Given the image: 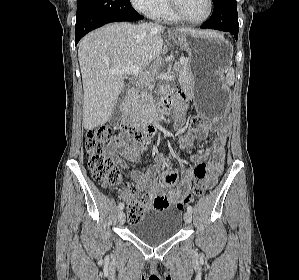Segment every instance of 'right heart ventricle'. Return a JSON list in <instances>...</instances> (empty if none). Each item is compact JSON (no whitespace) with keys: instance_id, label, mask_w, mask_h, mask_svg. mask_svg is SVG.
<instances>
[{"instance_id":"e07e8e85","label":"right heart ventricle","mask_w":299,"mask_h":280,"mask_svg":"<svg viewBox=\"0 0 299 280\" xmlns=\"http://www.w3.org/2000/svg\"><path fill=\"white\" fill-rule=\"evenodd\" d=\"M152 17L167 21V22H178L179 19L171 12L167 0H160L158 6L151 14Z\"/></svg>"}]
</instances>
